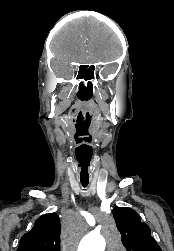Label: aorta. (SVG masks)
Instances as JSON below:
<instances>
[{"label": "aorta", "instance_id": "aorta-1", "mask_svg": "<svg viewBox=\"0 0 174 251\" xmlns=\"http://www.w3.org/2000/svg\"><path fill=\"white\" fill-rule=\"evenodd\" d=\"M106 244L115 251H118L121 246L120 236L114 226L105 232V238L98 234L86 235L77 251H104Z\"/></svg>", "mask_w": 174, "mask_h": 251}]
</instances>
